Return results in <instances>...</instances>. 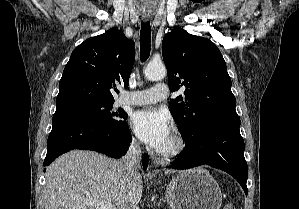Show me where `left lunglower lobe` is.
<instances>
[{
  "label": "left lung lower lobe",
  "mask_w": 299,
  "mask_h": 209,
  "mask_svg": "<svg viewBox=\"0 0 299 209\" xmlns=\"http://www.w3.org/2000/svg\"><path fill=\"white\" fill-rule=\"evenodd\" d=\"M237 113L216 117L205 124L191 138L184 139L187 149L168 168L189 169L210 165L232 175L248 193L247 163L244 158V141L240 134Z\"/></svg>",
  "instance_id": "left-lung-lower-lobe-1"
}]
</instances>
